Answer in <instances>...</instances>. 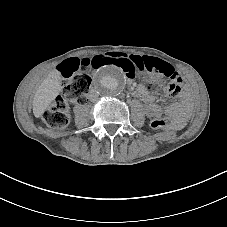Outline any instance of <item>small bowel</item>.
I'll list each match as a JSON object with an SVG mask.
<instances>
[{
    "label": "small bowel",
    "mask_w": 227,
    "mask_h": 227,
    "mask_svg": "<svg viewBox=\"0 0 227 227\" xmlns=\"http://www.w3.org/2000/svg\"><path fill=\"white\" fill-rule=\"evenodd\" d=\"M180 91H182V87ZM138 94L142 98V100L146 103L145 110H146V114L149 117L156 118L161 116L164 113H167L177 117L178 125H182L185 122L188 116V111H187L186 104L183 101H177L172 106L168 108H163L160 105L155 103V95L146 87L139 86Z\"/></svg>",
    "instance_id": "small-bowel-1"
}]
</instances>
